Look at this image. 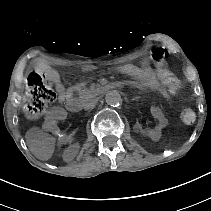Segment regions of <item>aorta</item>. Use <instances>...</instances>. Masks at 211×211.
I'll list each match as a JSON object with an SVG mask.
<instances>
[{"label": "aorta", "mask_w": 211, "mask_h": 211, "mask_svg": "<svg viewBox=\"0 0 211 211\" xmlns=\"http://www.w3.org/2000/svg\"><path fill=\"white\" fill-rule=\"evenodd\" d=\"M105 100L110 106H119L122 104V98L118 91H108L105 96Z\"/></svg>", "instance_id": "762f6f07"}]
</instances>
